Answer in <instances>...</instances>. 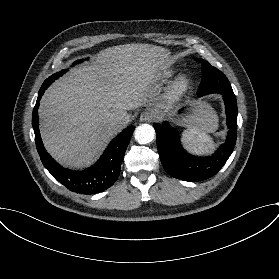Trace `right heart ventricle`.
Segmentation results:
<instances>
[{"instance_id": "right-heart-ventricle-1", "label": "right heart ventricle", "mask_w": 279, "mask_h": 279, "mask_svg": "<svg viewBox=\"0 0 279 279\" xmlns=\"http://www.w3.org/2000/svg\"><path fill=\"white\" fill-rule=\"evenodd\" d=\"M176 76L177 71L175 69H163L157 73L156 81L159 84L167 85L172 83Z\"/></svg>"}]
</instances>
